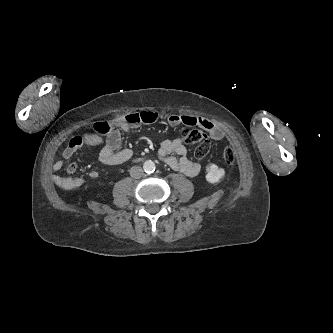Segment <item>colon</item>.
Segmentation results:
<instances>
[{
    "instance_id": "1",
    "label": "colon",
    "mask_w": 333,
    "mask_h": 333,
    "mask_svg": "<svg viewBox=\"0 0 333 333\" xmlns=\"http://www.w3.org/2000/svg\"><path fill=\"white\" fill-rule=\"evenodd\" d=\"M94 130L101 136H107L113 131V123L110 121H99L94 124ZM182 141L186 144H197L194 155L197 159L205 158L210 150V141L208 135L202 130H191L184 133ZM222 159L228 165L235 163V152L233 148L226 147L222 152Z\"/></svg>"
}]
</instances>
